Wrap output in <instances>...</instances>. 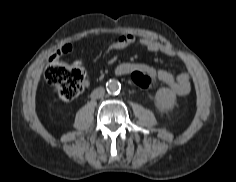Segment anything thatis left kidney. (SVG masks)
<instances>
[{
  "mask_svg": "<svg viewBox=\"0 0 236 182\" xmlns=\"http://www.w3.org/2000/svg\"><path fill=\"white\" fill-rule=\"evenodd\" d=\"M155 103L160 111L171 110L176 105V95L169 88H160L156 92Z\"/></svg>",
  "mask_w": 236,
  "mask_h": 182,
  "instance_id": "left-kidney-1",
  "label": "left kidney"
}]
</instances>
